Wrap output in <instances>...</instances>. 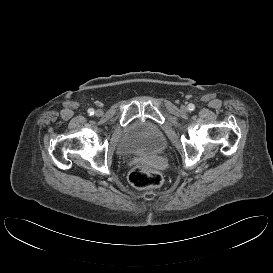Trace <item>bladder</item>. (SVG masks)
<instances>
[{
    "label": "bladder",
    "instance_id": "1",
    "mask_svg": "<svg viewBox=\"0 0 273 273\" xmlns=\"http://www.w3.org/2000/svg\"><path fill=\"white\" fill-rule=\"evenodd\" d=\"M165 135L160 127L146 121H136L120 135L115 152L117 155L133 153L156 154L164 150Z\"/></svg>",
    "mask_w": 273,
    "mask_h": 273
}]
</instances>
